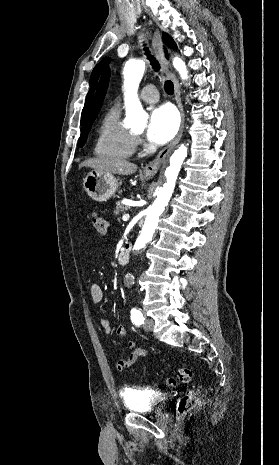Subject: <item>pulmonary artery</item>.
<instances>
[{"mask_svg":"<svg viewBox=\"0 0 279 465\" xmlns=\"http://www.w3.org/2000/svg\"><path fill=\"white\" fill-rule=\"evenodd\" d=\"M140 97L146 103H154L158 101L159 93L154 85H147L142 89Z\"/></svg>","mask_w":279,"mask_h":465,"instance_id":"e3ab8cb5","label":"pulmonary artery"}]
</instances>
